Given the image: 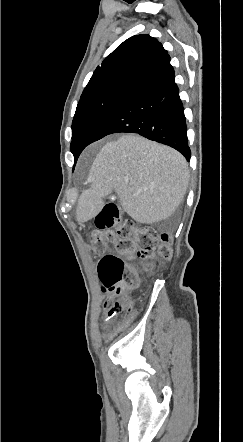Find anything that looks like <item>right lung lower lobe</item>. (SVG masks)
<instances>
[{"instance_id":"right-lung-lower-lobe-1","label":"right lung lower lobe","mask_w":243,"mask_h":442,"mask_svg":"<svg viewBox=\"0 0 243 442\" xmlns=\"http://www.w3.org/2000/svg\"><path fill=\"white\" fill-rule=\"evenodd\" d=\"M137 133L190 160L186 118L171 66L132 90L100 124L90 143L113 133Z\"/></svg>"}]
</instances>
